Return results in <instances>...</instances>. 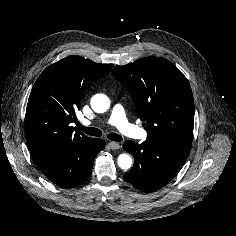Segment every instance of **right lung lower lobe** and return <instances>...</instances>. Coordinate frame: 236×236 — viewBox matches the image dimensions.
<instances>
[{
  "label": "right lung lower lobe",
  "mask_w": 236,
  "mask_h": 236,
  "mask_svg": "<svg viewBox=\"0 0 236 236\" xmlns=\"http://www.w3.org/2000/svg\"><path fill=\"white\" fill-rule=\"evenodd\" d=\"M104 147V140L93 139L88 143L69 147L36 164L51 182L64 189L73 188L89 177L95 156Z\"/></svg>",
  "instance_id": "1"
}]
</instances>
